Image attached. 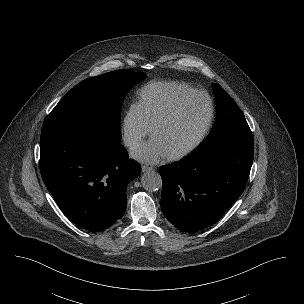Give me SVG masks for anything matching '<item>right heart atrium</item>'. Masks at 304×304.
Listing matches in <instances>:
<instances>
[{"mask_svg": "<svg viewBox=\"0 0 304 304\" xmlns=\"http://www.w3.org/2000/svg\"><path fill=\"white\" fill-rule=\"evenodd\" d=\"M151 127L145 120L137 101H133L125 111L121 121L122 139L129 149H133L150 134Z\"/></svg>", "mask_w": 304, "mask_h": 304, "instance_id": "right-heart-atrium-1", "label": "right heart atrium"}]
</instances>
